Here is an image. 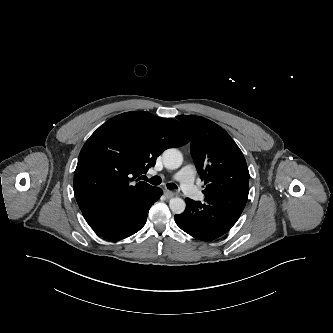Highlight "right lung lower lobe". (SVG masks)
Segmentation results:
<instances>
[{
	"instance_id": "98d812e1",
	"label": "right lung lower lobe",
	"mask_w": 333,
	"mask_h": 333,
	"mask_svg": "<svg viewBox=\"0 0 333 333\" xmlns=\"http://www.w3.org/2000/svg\"><path fill=\"white\" fill-rule=\"evenodd\" d=\"M161 195L162 189L154 187L144 197L133 202L94 204L81 211L97 234L108 240H121L145 225L150 207Z\"/></svg>"
}]
</instances>
